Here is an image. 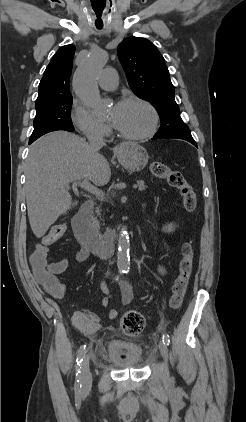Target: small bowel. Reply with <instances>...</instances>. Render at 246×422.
Returning <instances> with one entry per match:
<instances>
[{
  "label": "small bowel",
  "instance_id": "c3829d8e",
  "mask_svg": "<svg viewBox=\"0 0 246 422\" xmlns=\"http://www.w3.org/2000/svg\"><path fill=\"white\" fill-rule=\"evenodd\" d=\"M89 255V250L87 248H82L76 255L78 261H84ZM69 266V261L67 259H62L57 262H52L48 264L47 274L44 277H38V282L45 289V291L56 299H63L66 294L65 285L57 278V276L66 271ZM158 271L160 274L164 275L166 270L163 266H158ZM100 288L105 294V297L102 300L103 306L107 307L111 300V294L109 292L107 283L103 280L100 283ZM121 299L124 305H128L133 301L134 295L132 290V284L129 281H123L120 284ZM108 316L110 319H115L118 316V311L116 309H110ZM73 323L75 327L86 335H93L96 333L102 323V319L86 310H80L74 313Z\"/></svg>",
  "mask_w": 246,
  "mask_h": 422
}]
</instances>
